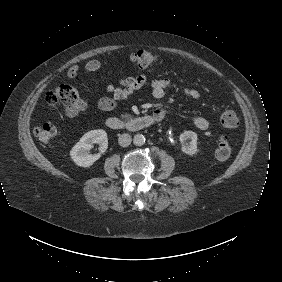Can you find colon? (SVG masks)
<instances>
[{
    "instance_id": "5ec220e1",
    "label": "colon",
    "mask_w": 282,
    "mask_h": 282,
    "mask_svg": "<svg viewBox=\"0 0 282 282\" xmlns=\"http://www.w3.org/2000/svg\"><path fill=\"white\" fill-rule=\"evenodd\" d=\"M158 56L150 50H139L132 56V64L138 69H144L157 62ZM80 98L79 89L68 85L60 84L46 94V101L49 105H70ZM219 125L223 128H236L239 123L238 116L231 109H224L219 114ZM36 138L45 144L53 142L58 135V130L53 123H45L35 132ZM232 153L230 140L225 136H219L215 144V158L218 161L229 159Z\"/></svg>"
}]
</instances>
